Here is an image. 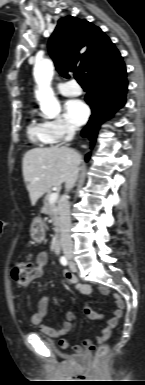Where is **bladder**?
<instances>
[{"instance_id": "1", "label": "bladder", "mask_w": 145, "mask_h": 385, "mask_svg": "<svg viewBox=\"0 0 145 385\" xmlns=\"http://www.w3.org/2000/svg\"><path fill=\"white\" fill-rule=\"evenodd\" d=\"M49 343L52 345V346H55V344L52 342V341H49ZM81 357V360H85V357L83 356H80Z\"/></svg>"}]
</instances>
